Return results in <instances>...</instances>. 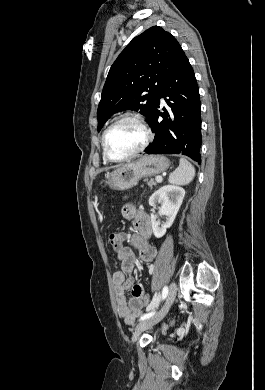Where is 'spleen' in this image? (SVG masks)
<instances>
[{"label": "spleen", "mask_w": 265, "mask_h": 390, "mask_svg": "<svg viewBox=\"0 0 265 390\" xmlns=\"http://www.w3.org/2000/svg\"><path fill=\"white\" fill-rule=\"evenodd\" d=\"M195 176V168L185 158H181L179 166L169 176V183L175 185H187Z\"/></svg>", "instance_id": "1"}]
</instances>
